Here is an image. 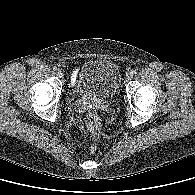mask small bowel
Instances as JSON below:
<instances>
[{"label":"small bowel","mask_w":195,"mask_h":195,"mask_svg":"<svg viewBox=\"0 0 195 195\" xmlns=\"http://www.w3.org/2000/svg\"><path fill=\"white\" fill-rule=\"evenodd\" d=\"M78 69H76L72 75V84H74V82L77 80V77H78Z\"/></svg>","instance_id":"small-bowel-1"}]
</instances>
